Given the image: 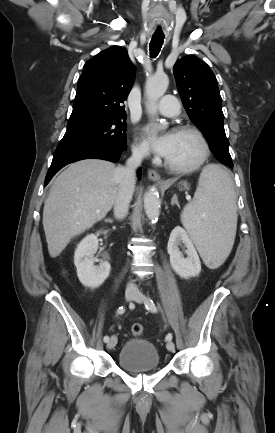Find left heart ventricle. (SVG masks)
I'll return each mask as SVG.
<instances>
[{
    "mask_svg": "<svg viewBox=\"0 0 275 433\" xmlns=\"http://www.w3.org/2000/svg\"><path fill=\"white\" fill-rule=\"evenodd\" d=\"M202 146L200 141L191 134L173 133V141L166 159L181 167L195 164L201 157Z\"/></svg>",
    "mask_w": 275,
    "mask_h": 433,
    "instance_id": "1",
    "label": "left heart ventricle"
}]
</instances>
